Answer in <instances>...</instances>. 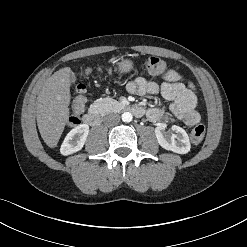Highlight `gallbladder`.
Segmentation results:
<instances>
[{
    "label": "gallbladder",
    "mask_w": 247,
    "mask_h": 247,
    "mask_svg": "<svg viewBox=\"0 0 247 247\" xmlns=\"http://www.w3.org/2000/svg\"><path fill=\"white\" fill-rule=\"evenodd\" d=\"M70 81H71L72 84H75L76 83V76H75L74 73H71V75H70Z\"/></svg>",
    "instance_id": "bac80fb5"
}]
</instances>
